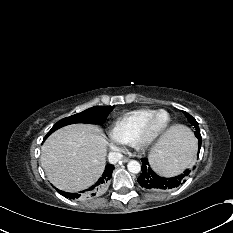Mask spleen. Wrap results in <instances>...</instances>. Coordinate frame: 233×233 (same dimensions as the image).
I'll list each match as a JSON object with an SVG mask.
<instances>
[{"instance_id":"spleen-1","label":"spleen","mask_w":233,"mask_h":233,"mask_svg":"<svg viewBox=\"0 0 233 233\" xmlns=\"http://www.w3.org/2000/svg\"><path fill=\"white\" fill-rule=\"evenodd\" d=\"M196 150L197 141L191 132L185 127L183 139L180 145L175 149V156L172 162L166 167L169 169L170 174L176 173L174 169H187L191 167L195 161Z\"/></svg>"}]
</instances>
